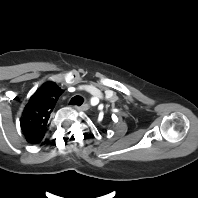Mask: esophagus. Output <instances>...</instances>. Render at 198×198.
Listing matches in <instances>:
<instances>
[{
	"label": "esophagus",
	"instance_id": "esophagus-1",
	"mask_svg": "<svg viewBox=\"0 0 198 198\" xmlns=\"http://www.w3.org/2000/svg\"><path fill=\"white\" fill-rule=\"evenodd\" d=\"M74 108H76L77 110H80V111H86L90 108V106L88 104H83L81 106H74Z\"/></svg>",
	"mask_w": 198,
	"mask_h": 198
}]
</instances>
